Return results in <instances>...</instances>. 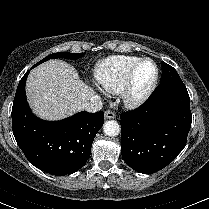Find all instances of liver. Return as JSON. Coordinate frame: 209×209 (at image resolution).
<instances>
[{"label":"liver","instance_id":"obj_1","mask_svg":"<svg viewBox=\"0 0 209 209\" xmlns=\"http://www.w3.org/2000/svg\"><path fill=\"white\" fill-rule=\"evenodd\" d=\"M26 93L33 113L48 121L75 114L81 103L95 96L73 66L57 59L48 60L30 72Z\"/></svg>","mask_w":209,"mask_h":209}]
</instances>
